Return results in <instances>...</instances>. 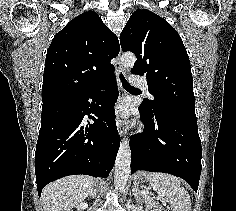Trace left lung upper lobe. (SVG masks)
Listing matches in <instances>:
<instances>
[{"label": "left lung upper lobe", "mask_w": 236, "mask_h": 211, "mask_svg": "<svg viewBox=\"0 0 236 211\" xmlns=\"http://www.w3.org/2000/svg\"><path fill=\"white\" fill-rule=\"evenodd\" d=\"M120 45L136 55L131 72L146 75L154 96L141 105L144 110L196 118L190 61L175 29L149 10H136L120 34Z\"/></svg>", "instance_id": "left-lung-upper-lobe-1"}]
</instances>
